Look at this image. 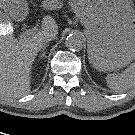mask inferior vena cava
<instances>
[{"instance_id":"obj_1","label":"inferior vena cava","mask_w":135,"mask_h":135,"mask_svg":"<svg viewBox=\"0 0 135 135\" xmlns=\"http://www.w3.org/2000/svg\"><path fill=\"white\" fill-rule=\"evenodd\" d=\"M55 38H56V34L55 33L47 32L43 36V41L44 42H48V41L54 40Z\"/></svg>"}]
</instances>
